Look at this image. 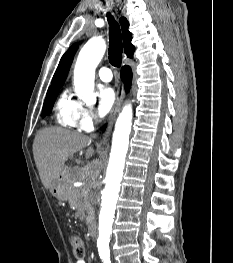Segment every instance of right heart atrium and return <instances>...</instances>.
Returning a JSON list of instances; mask_svg holds the SVG:
<instances>
[{
    "mask_svg": "<svg viewBox=\"0 0 233 263\" xmlns=\"http://www.w3.org/2000/svg\"><path fill=\"white\" fill-rule=\"evenodd\" d=\"M96 122V115L91 107L79 104L75 116V126L81 131H89Z\"/></svg>",
    "mask_w": 233,
    "mask_h": 263,
    "instance_id": "1",
    "label": "right heart atrium"
}]
</instances>
